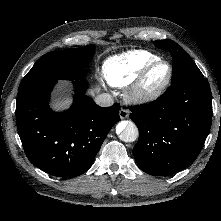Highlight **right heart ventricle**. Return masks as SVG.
Here are the masks:
<instances>
[{
  "mask_svg": "<svg viewBox=\"0 0 221 221\" xmlns=\"http://www.w3.org/2000/svg\"><path fill=\"white\" fill-rule=\"evenodd\" d=\"M159 57L147 50H133L105 60L102 76L105 82L117 88L131 84L142 70Z\"/></svg>",
  "mask_w": 221,
  "mask_h": 221,
  "instance_id": "1",
  "label": "right heart ventricle"
}]
</instances>
